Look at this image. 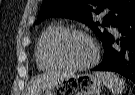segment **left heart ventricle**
Listing matches in <instances>:
<instances>
[{
	"label": "left heart ventricle",
	"instance_id": "1",
	"mask_svg": "<svg viewBox=\"0 0 135 95\" xmlns=\"http://www.w3.org/2000/svg\"><path fill=\"white\" fill-rule=\"evenodd\" d=\"M59 54L66 63L81 65L93 58L94 49L88 39L72 36L63 41L59 48Z\"/></svg>",
	"mask_w": 135,
	"mask_h": 95
}]
</instances>
